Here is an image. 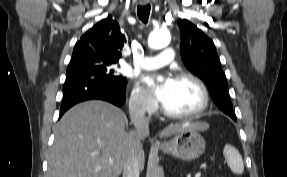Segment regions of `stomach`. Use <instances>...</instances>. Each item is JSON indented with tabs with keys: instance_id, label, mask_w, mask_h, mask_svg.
I'll list each match as a JSON object with an SVG mask.
<instances>
[{
	"instance_id": "1",
	"label": "stomach",
	"mask_w": 287,
	"mask_h": 177,
	"mask_svg": "<svg viewBox=\"0 0 287 177\" xmlns=\"http://www.w3.org/2000/svg\"><path fill=\"white\" fill-rule=\"evenodd\" d=\"M205 140L197 129L187 128L160 146L164 152L185 161L199 158L205 150Z\"/></svg>"
}]
</instances>
